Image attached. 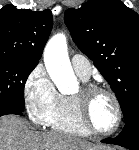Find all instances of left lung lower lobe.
<instances>
[{
  "mask_svg": "<svg viewBox=\"0 0 139 150\" xmlns=\"http://www.w3.org/2000/svg\"><path fill=\"white\" fill-rule=\"evenodd\" d=\"M101 142L139 150V108L133 110L131 119L125 123L123 131L116 138H106Z\"/></svg>",
  "mask_w": 139,
  "mask_h": 150,
  "instance_id": "obj_1",
  "label": "left lung lower lobe"
}]
</instances>
